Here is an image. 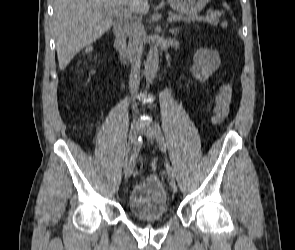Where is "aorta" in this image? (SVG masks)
I'll return each instance as SVG.
<instances>
[{
	"label": "aorta",
	"instance_id": "aorta-1",
	"mask_svg": "<svg viewBox=\"0 0 295 250\" xmlns=\"http://www.w3.org/2000/svg\"><path fill=\"white\" fill-rule=\"evenodd\" d=\"M159 64V50L156 45L150 48L145 62L144 75L148 84L154 80Z\"/></svg>",
	"mask_w": 295,
	"mask_h": 250
}]
</instances>
